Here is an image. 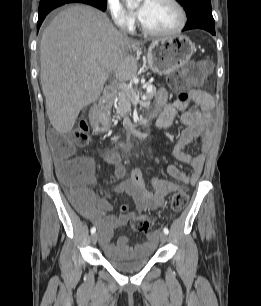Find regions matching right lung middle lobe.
Returning a JSON list of instances; mask_svg holds the SVG:
<instances>
[{"label":"right lung middle lobe","instance_id":"right-lung-middle-lobe-1","mask_svg":"<svg viewBox=\"0 0 261 306\" xmlns=\"http://www.w3.org/2000/svg\"><path fill=\"white\" fill-rule=\"evenodd\" d=\"M87 1L90 3L96 4V5H99L103 8L107 7V0H87Z\"/></svg>","mask_w":261,"mask_h":306}]
</instances>
